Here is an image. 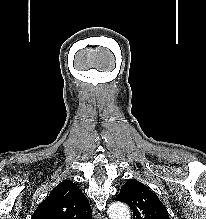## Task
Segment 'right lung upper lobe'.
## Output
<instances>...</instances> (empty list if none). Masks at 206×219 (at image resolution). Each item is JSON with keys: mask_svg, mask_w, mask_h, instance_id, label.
<instances>
[{"mask_svg": "<svg viewBox=\"0 0 206 219\" xmlns=\"http://www.w3.org/2000/svg\"><path fill=\"white\" fill-rule=\"evenodd\" d=\"M91 218V207L86 196L70 180L58 184L31 217V219Z\"/></svg>", "mask_w": 206, "mask_h": 219, "instance_id": "1", "label": "right lung upper lobe"}]
</instances>
